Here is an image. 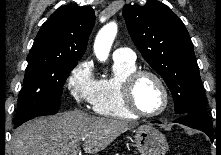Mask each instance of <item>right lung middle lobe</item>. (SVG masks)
I'll use <instances>...</instances> for the list:
<instances>
[{
	"mask_svg": "<svg viewBox=\"0 0 221 155\" xmlns=\"http://www.w3.org/2000/svg\"><path fill=\"white\" fill-rule=\"evenodd\" d=\"M23 88L19 93L14 124H21L43 113L59 110L63 85L77 63L33 59L27 60Z\"/></svg>",
	"mask_w": 221,
	"mask_h": 155,
	"instance_id": "obj_1",
	"label": "right lung middle lobe"
}]
</instances>
